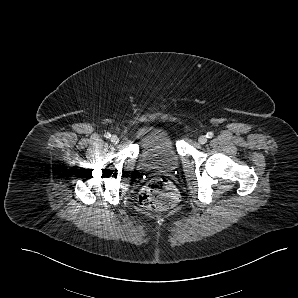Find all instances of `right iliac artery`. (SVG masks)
I'll list each match as a JSON object with an SVG mask.
<instances>
[{
  "instance_id": "82829eb1",
  "label": "right iliac artery",
  "mask_w": 298,
  "mask_h": 298,
  "mask_svg": "<svg viewBox=\"0 0 298 298\" xmlns=\"http://www.w3.org/2000/svg\"><path fill=\"white\" fill-rule=\"evenodd\" d=\"M104 137L109 139L111 137V134L107 132V133L104 134Z\"/></svg>"
}]
</instances>
